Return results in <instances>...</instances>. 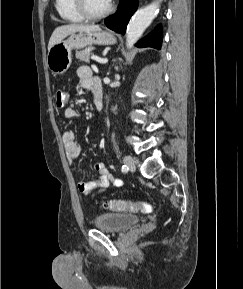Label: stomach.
Listing matches in <instances>:
<instances>
[{
    "mask_svg": "<svg viewBox=\"0 0 243 289\" xmlns=\"http://www.w3.org/2000/svg\"><path fill=\"white\" fill-rule=\"evenodd\" d=\"M115 43V36L107 31L72 33L48 51L47 65L53 74H63L71 65L73 49H82L92 44L112 45Z\"/></svg>",
    "mask_w": 243,
    "mask_h": 289,
    "instance_id": "0dacf381",
    "label": "stomach"
}]
</instances>
